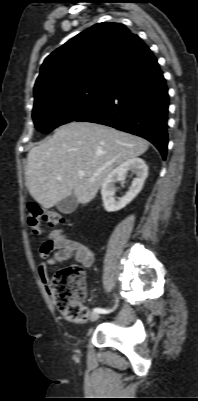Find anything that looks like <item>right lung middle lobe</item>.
Here are the masks:
<instances>
[{
	"instance_id": "dd1d6c3e",
	"label": "right lung middle lobe",
	"mask_w": 198,
	"mask_h": 401,
	"mask_svg": "<svg viewBox=\"0 0 198 401\" xmlns=\"http://www.w3.org/2000/svg\"><path fill=\"white\" fill-rule=\"evenodd\" d=\"M108 84L85 83L39 97L35 100L32 115L36 129L49 133L74 121L100 100Z\"/></svg>"
}]
</instances>
